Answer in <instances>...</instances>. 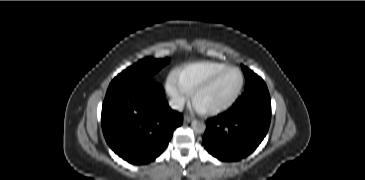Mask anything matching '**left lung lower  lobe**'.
Listing matches in <instances>:
<instances>
[{"label": "left lung lower lobe", "mask_w": 365, "mask_h": 180, "mask_svg": "<svg viewBox=\"0 0 365 180\" xmlns=\"http://www.w3.org/2000/svg\"><path fill=\"white\" fill-rule=\"evenodd\" d=\"M271 101L266 84L254 86L227 111L207 120L203 143L222 161H237L252 153L267 134Z\"/></svg>", "instance_id": "obj_1"}]
</instances>
